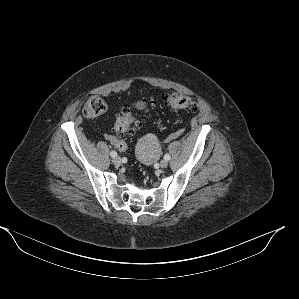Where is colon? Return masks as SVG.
<instances>
[{
  "label": "colon",
  "instance_id": "colon-1",
  "mask_svg": "<svg viewBox=\"0 0 299 299\" xmlns=\"http://www.w3.org/2000/svg\"><path fill=\"white\" fill-rule=\"evenodd\" d=\"M165 101L174 110L190 111L198 108L196 100L186 95H167ZM82 111L86 118L93 119L106 111V103L99 96H91L85 102ZM135 124V116L129 111H124L118 116L113 128L114 132L118 135V137L116 136L118 138L116 143L118 149L123 151L127 149L126 143L120 137L132 134L135 130Z\"/></svg>",
  "mask_w": 299,
  "mask_h": 299
}]
</instances>
